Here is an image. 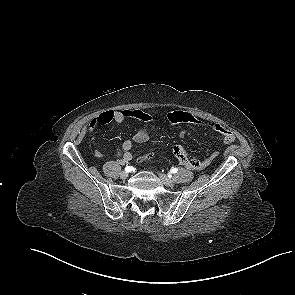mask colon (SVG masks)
<instances>
[{
  "label": "colon",
  "instance_id": "obj_1",
  "mask_svg": "<svg viewBox=\"0 0 295 295\" xmlns=\"http://www.w3.org/2000/svg\"><path fill=\"white\" fill-rule=\"evenodd\" d=\"M152 157H153V153L148 152V153L143 154V155L139 158V161H140V162H145V161L150 160Z\"/></svg>",
  "mask_w": 295,
  "mask_h": 295
}]
</instances>
